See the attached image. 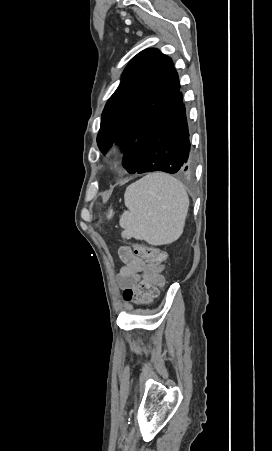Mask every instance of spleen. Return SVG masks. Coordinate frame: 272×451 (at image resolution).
Listing matches in <instances>:
<instances>
[{
	"label": "spleen",
	"mask_w": 272,
	"mask_h": 451,
	"mask_svg": "<svg viewBox=\"0 0 272 451\" xmlns=\"http://www.w3.org/2000/svg\"><path fill=\"white\" fill-rule=\"evenodd\" d=\"M129 212L120 216L125 239H145L151 245L172 243L183 233L189 198L182 182L168 174H147L124 194Z\"/></svg>",
	"instance_id": "1"
}]
</instances>
